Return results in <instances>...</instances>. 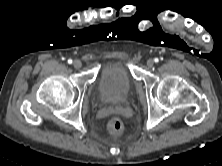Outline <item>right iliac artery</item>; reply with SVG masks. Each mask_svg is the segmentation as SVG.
Masks as SVG:
<instances>
[{"label":"right iliac artery","instance_id":"obj_1","mask_svg":"<svg viewBox=\"0 0 222 166\" xmlns=\"http://www.w3.org/2000/svg\"><path fill=\"white\" fill-rule=\"evenodd\" d=\"M68 63H69V64H71V63H72V60H71V59H69V60H68Z\"/></svg>","mask_w":222,"mask_h":166}]
</instances>
